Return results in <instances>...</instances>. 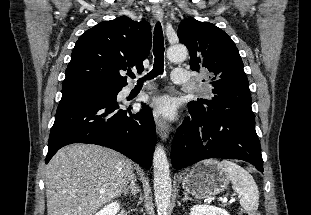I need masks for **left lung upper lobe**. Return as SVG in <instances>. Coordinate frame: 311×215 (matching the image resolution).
Instances as JSON below:
<instances>
[{
	"label": "left lung upper lobe",
	"mask_w": 311,
	"mask_h": 215,
	"mask_svg": "<svg viewBox=\"0 0 311 215\" xmlns=\"http://www.w3.org/2000/svg\"><path fill=\"white\" fill-rule=\"evenodd\" d=\"M178 37L190 53V68L209 74L212 95L191 101L188 106L199 110L241 109L252 111L249 82L239 51L223 30L194 18L181 21Z\"/></svg>",
	"instance_id": "left-lung-upper-lobe-1"
}]
</instances>
